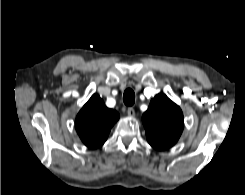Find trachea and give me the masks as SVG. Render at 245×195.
Wrapping results in <instances>:
<instances>
[{
  "label": "trachea",
  "mask_w": 245,
  "mask_h": 195,
  "mask_svg": "<svg viewBox=\"0 0 245 195\" xmlns=\"http://www.w3.org/2000/svg\"><path fill=\"white\" fill-rule=\"evenodd\" d=\"M123 102L127 106H132L135 103V93L131 88L125 90L123 94Z\"/></svg>",
  "instance_id": "1"
}]
</instances>
